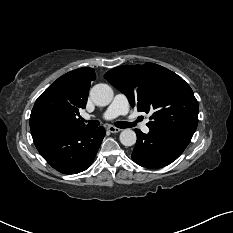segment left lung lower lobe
I'll list each match as a JSON object with an SVG mask.
<instances>
[{"instance_id": "left-lung-lower-lobe-1", "label": "left lung lower lobe", "mask_w": 233, "mask_h": 233, "mask_svg": "<svg viewBox=\"0 0 233 233\" xmlns=\"http://www.w3.org/2000/svg\"><path fill=\"white\" fill-rule=\"evenodd\" d=\"M137 142L131 158L147 168L164 167L176 160L193 135L171 130H151L148 135L136 129Z\"/></svg>"}]
</instances>
